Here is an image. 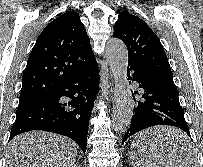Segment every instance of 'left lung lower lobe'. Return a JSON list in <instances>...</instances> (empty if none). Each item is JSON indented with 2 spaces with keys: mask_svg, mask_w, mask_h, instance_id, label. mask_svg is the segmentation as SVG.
Returning <instances> with one entry per match:
<instances>
[{
  "mask_svg": "<svg viewBox=\"0 0 203 167\" xmlns=\"http://www.w3.org/2000/svg\"><path fill=\"white\" fill-rule=\"evenodd\" d=\"M130 71L129 80L136 81L140 90L132 92L136 105L130 128L124 135L122 144L131 135L155 125L178 127L191 138L175 84L162 81L139 67L130 66L128 72ZM178 146L191 152L184 142Z\"/></svg>",
  "mask_w": 203,
  "mask_h": 167,
  "instance_id": "1",
  "label": "left lung lower lobe"
}]
</instances>
